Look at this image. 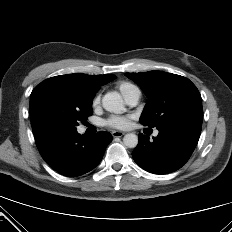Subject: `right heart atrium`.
<instances>
[{
    "label": "right heart atrium",
    "instance_id": "right-heart-atrium-1",
    "mask_svg": "<svg viewBox=\"0 0 232 232\" xmlns=\"http://www.w3.org/2000/svg\"><path fill=\"white\" fill-rule=\"evenodd\" d=\"M100 102V96L96 95L92 100V107L95 108Z\"/></svg>",
    "mask_w": 232,
    "mask_h": 232
}]
</instances>
